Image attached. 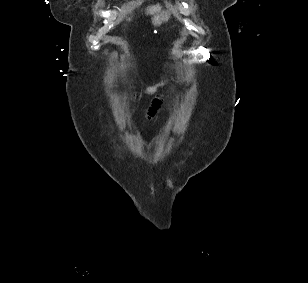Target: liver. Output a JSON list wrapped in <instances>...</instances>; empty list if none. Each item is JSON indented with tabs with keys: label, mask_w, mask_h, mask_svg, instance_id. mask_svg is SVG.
<instances>
[{
	"label": "liver",
	"mask_w": 308,
	"mask_h": 283,
	"mask_svg": "<svg viewBox=\"0 0 308 283\" xmlns=\"http://www.w3.org/2000/svg\"><path fill=\"white\" fill-rule=\"evenodd\" d=\"M161 6L159 4L148 6L146 8V14L155 15L156 13L161 11ZM130 21V18L128 19Z\"/></svg>",
	"instance_id": "1"
}]
</instances>
